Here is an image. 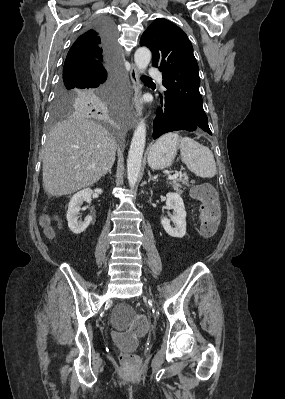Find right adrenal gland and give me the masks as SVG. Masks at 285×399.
Instances as JSON below:
<instances>
[{"label":"right adrenal gland","mask_w":285,"mask_h":399,"mask_svg":"<svg viewBox=\"0 0 285 399\" xmlns=\"http://www.w3.org/2000/svg\"><path fill=\"white\" fill-rule=\"evenodd\" d=\"M107 173L111 174V167L107 170Z\"/></svg>","instance_id":"1"}]
</instances>
